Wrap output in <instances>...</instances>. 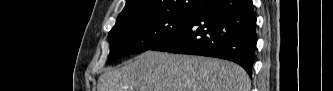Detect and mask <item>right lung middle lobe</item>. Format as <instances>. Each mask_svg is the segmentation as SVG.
Listing matches in <instances>:
<instances>
[{
  "mask_svg": "<svg viewBox=\"0 0 333 91\" xmlns=\"http://www.w3.org/2000/svg\"><path fill=\"white\" fill-rule=\"evenodd\" d=\"M213 0H204L207 6ZM196 14L163 13L144 16L115 25L109 32L110 54L114 62L124 56L151 50L188 24Z\"/></svg>",
  "mask_w": 333,
  "mask_h": 91,
  "instance_id": "dd1d6c3e",
  "label": "right lung middle lobe"
}]
</instances>
